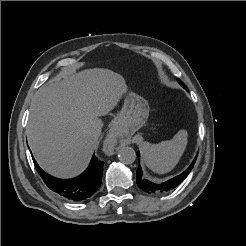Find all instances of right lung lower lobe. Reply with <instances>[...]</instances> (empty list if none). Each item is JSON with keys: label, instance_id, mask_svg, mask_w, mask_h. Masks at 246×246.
<instances>
[{"label": "right lung lower lobe", "instance_id": "obj_1", "mask_svg": "<svg viewBox=\"0 0 246 246\" xmlns=\"http://www.w3.org/2000/svg\"><path fill=\"white\" fill-rule=\"evenodd\" d=\"M33 162L45 184L62 198L71 202H80L88 199L101 185L103 162L98 160L95 155H93L86 171L70 180L55 178L44 172L34 158Z\"/></svg>", "mask_w": 246, "mask_h": 246}]
</instances>
